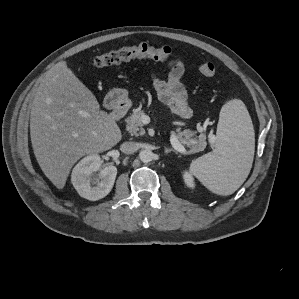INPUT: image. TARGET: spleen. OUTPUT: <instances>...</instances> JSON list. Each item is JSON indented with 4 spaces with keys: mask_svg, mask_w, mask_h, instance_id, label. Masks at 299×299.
<instances>
[{
    "mask_svg": "<svg viewBox=\"0 0 299 299\" xmlns=\"http://www.w3.org/2000/svg\"><path fill=\"white\" fill-rule=\"evenodd\" d=\"M215 149L190 164V173L218 195L233 194L252 167L255 133L245 104L228 100L221 108Z\"/></svg>",
    "mask_w": 299,
    "mask_h": 299,
    "instance_id": "3e777b00",
    "label": "spleen"
}]
</instances>
